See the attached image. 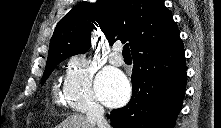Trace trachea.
<instances>
[{
  "mask_svg": "<svg viewBox=\"0 0 221 128\" xmlns=\"http://www.w3.org/2000/svg\"><path fill=\"white\" fill-rule=\"evenodd\" d=\"M122 43L124 44L123 51H122L123 57H131L128 43H126V41Z\"/></svg>",
  "mask_w": 221,
  "mask_h": 128,
  "instance_id": "3493384b",
  "label": "trachea"
}]
</instances>
